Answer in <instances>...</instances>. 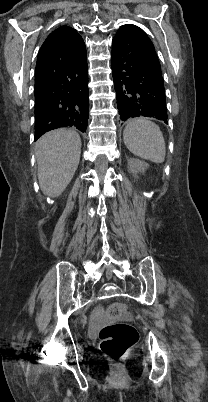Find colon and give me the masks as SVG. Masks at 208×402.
Wrapping results in <instances>:
<instances>
[{"instance_id": "1", "label": "colon", "mask_w": 208, "mask_h": 402, "mask_svg": "<svg viewBox=\"0 0 208 402\" xmlns=\"http://www.w3.org/2000/svg\"><path fill=\"white\" fill-rule=\"evenodd\" d=\"M122 305H114L107 313L110 317H118L123 313ZM140 331L135 324L115 323L105 324L99 332L102 340V352L114 362H119L126 351L134 344L135 338H139Z\"/></svg>"}]
</instances>
